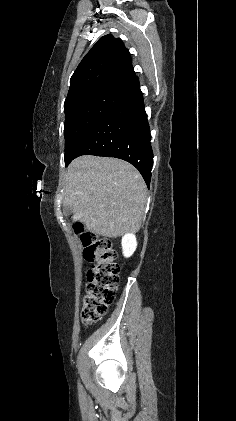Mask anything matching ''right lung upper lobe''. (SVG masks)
<instances>
[{"mask_svg":"<svg viewBox=\"0 0 236 421\" xmlns=\"http://www.w3.org/2000/svg\"><path fill=\"white\" fill-rule=\"evenodd\" d=\"M134 70L123 42L112 35L101 37L85 55L70 79L67 98L105 86H121Z\"/></svg>","mask_w":236,"mask_h":421,"instance_id":"obj_1","label":"right lung upper lobe"}]
</instances>
